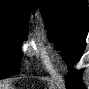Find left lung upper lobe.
Wrapping results in <instances>:
<instances>
[{
    "instance_id": "left-lung-upper-lobe-1",
    "label": "left lung upper lobe",
    "mask_w": 89,
    "mask_h": 89,
    "mask_svg": "<svg viewBox=\"0 0 89 89\" xmlns=\"http://www.w3.org/2000/svg\"><path fill=\"white\" fill-rule=\"evenodd\" d=\"M48 28L49 36L64 51V59L71 67L77 63L85 48L88 34L87 0H35ZM83 70H70L68 89H83L80 82Z\"/></svg>"
}]
</instances>
